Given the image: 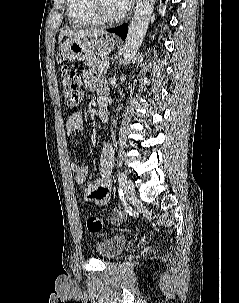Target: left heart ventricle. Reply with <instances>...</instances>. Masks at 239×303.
Segmentation results:
<instances>
[{
    "label": "left heart ventricle",
    "mask_w": 239,
    "mask_h": 303,
    "mask_svg": "<svg viewBox=\"0 0 239 303\" xmlns=\"http://www.w3.org/2000/svg\"><path fill=\"white\" fill-rule=\"evenodd\" d=\"M104 12L109 16H117L123 12L115 0H101Z\"/></svg>",
    "instance_id": "obj_1"
}]
</instances>
